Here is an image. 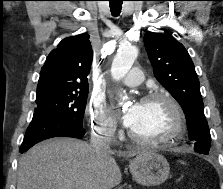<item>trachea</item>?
I'll return each mask as SVG.
<instances>
[{
  "mask_svg": "<svg viewBox=\"0 0 223 189\" xmlns=\"http://www.w3.org/2000/svg\"><path fill=\"white\" fill-rule=\"evenodd\" d=\"M110 9L114 16H118L122 9L123 0H109Z\"/></svg>",
  "mask_w": 223,
  "mask_h": 189,
  "instance_id": "obj_1",
  "label": "trachea"
}]
</instances>
